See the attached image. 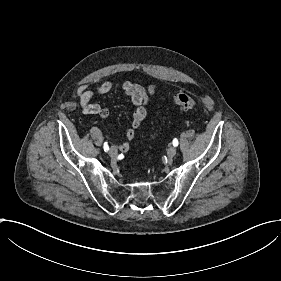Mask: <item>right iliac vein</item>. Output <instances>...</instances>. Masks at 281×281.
<instances>
[{"mask_svg": "<svg viewBox=\"0 0 281 281\" xmlns=\"http://www.w3.org/2000/svg\"><path fill=\"white\" fill-rule=\"evenodd\" d=\"M109 154H111L113 157H116L118 155L117 149L114 146L110 147Z\"/></svg>", "mask_w": 281, "mask_h": 281, "instance_id": "obj_1", "label": "right iliac vein"}]
</instances>
